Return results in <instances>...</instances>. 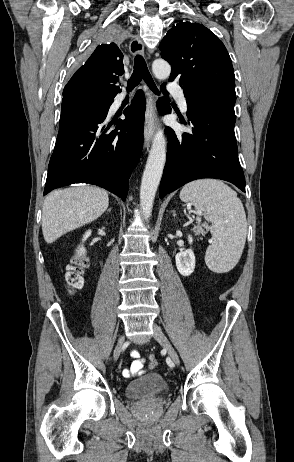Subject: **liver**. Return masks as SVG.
Returning <instances> with one entry per match:
<instances>
[{"label": "liver", "mask_w": 294, "mask_h": 462, "mask_svg": "<svg viewBox=\"0 0 294 462\" xmlns=\"http://www.w3.org/2000/svg\"><path fill=\"white\" fill-rule=\"evenodd\" d=\"M109 206L105 190L93 186H80L57 190L44 200L42 232L48 244L62 235L91 223Z\"/></svg>", "instance_id": "1"}]
</instances>
